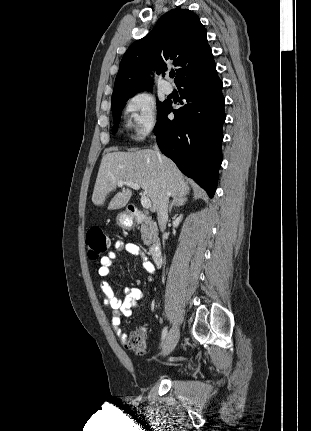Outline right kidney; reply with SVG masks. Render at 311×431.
<instances>
[{"label":"right kidney","instance_id":"1","mask_svg":"<svg viewBox=\"0 0 311 431\" xmlns=\"http://www.w3.org/2000/svg\"><path fill=\"white\" fill-rule=\"evenodd\" d=\"M181 219H182V214H180L179 217H175V219H173V225H174V227H178Z\"/></svg>","mask_w":311,"mask_h":431}]
</instances>
